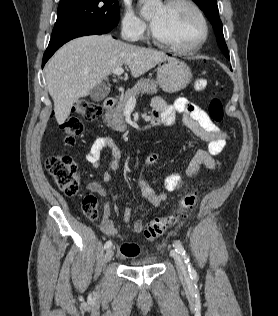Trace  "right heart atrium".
I'll return each instance as SVG.
<instances>
[{"instance_id": "obj_1", "label": "right heart atrium", "mask_w": 278, "mask_h": 316, "mask_svg": "<svg viewBox=\"0 0 278 316\" xmlns=\"http://www.w3.org/2000/svg\"><path fill=\"white\" fill-rule=\"evenodd\" d=\"M121 30L129 40L138 41L145 37L147 24L131 8H126L121 20Z\"/></svg>"}]
</instances>
